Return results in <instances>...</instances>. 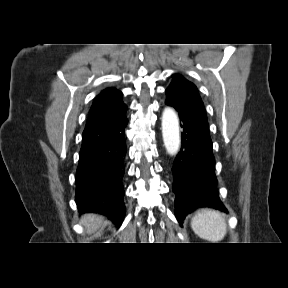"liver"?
<instances>
[{"mask_svg":"<svg viewBox=\"0 0 288 288\" xmlns=\"http://www.w3.org/2000/svg\"><path fill=\"white\" fill-rule=\"evenodd\" d=\"M103 217L95 214H87L81 217V224L85 227L88 234L95 233L103 224Z\"/></svg>","mask_w":288,"mask_h":288,"instance_id":"1","label":"liver"}]
</instances>
